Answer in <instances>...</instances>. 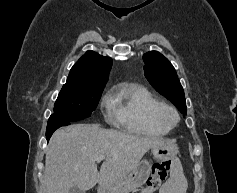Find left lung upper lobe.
Instances as JSON below:
<instances>
[{
    "instance_id": "left-lung-upper-lobe-1",
    "label": "left lung upper lobe",
    "mask_w": 237,
    "mask_h": 193,
    "mask_svg": "<svg viewBox=\"0 0 237 193\" xmlns=\"http://www.w3.org/2000/svg\"><path fill=\"white\" fill-rule=\"evenodd\" d=\"M143 60L145 76L150 84L186 115L184 90L172 64L157 51L144 54Z\"/></svg>"
}]
</instances>
